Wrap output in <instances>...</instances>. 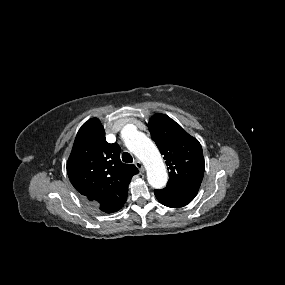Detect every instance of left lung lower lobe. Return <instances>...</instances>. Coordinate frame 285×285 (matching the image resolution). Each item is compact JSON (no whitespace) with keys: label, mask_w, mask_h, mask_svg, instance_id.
Instances as JSON below:
<instances>
[{"label":"left lung lower lobe","mask_w":285,"mask_h":285,"mask_svg":"<svg viewBox=\"0 0 285 285\" xmlns=\"http://www.w3.org/2000/svg\"><path fill=\"white\" fill-rule=\"evenodd\" d=\"M154 194L163 205L178 208L189 204L197 195V191L167 186L164 189L155 190Z\"/></svg>","instance_id":"left-lung-lower-lobe-1"}]
</instances>
